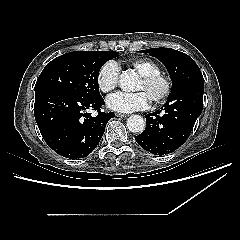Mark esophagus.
I'll return each mask as SVG.
<instances>
[{
  "label": "esophagus",
  "instance_id": "34e87169",
  "mask_svg": "<svg viewBox=\"0 0 240 240\" xmlns=\"http://www.w3.org/2000/svg\"><path fill=\"white\" fill-rule=\"evenodd\" d=\"M117 117H120V118H124V117H127L128 115L126 114H120V113H116L115 114Z\"/></svg>",
  "mask_w": 240,
  "mask_h": 240
}]
</instances>
